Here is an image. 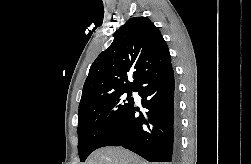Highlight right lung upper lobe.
I'll return each instance as SVG.
<instances>
[{
  "instance_id": "1",
  "label": "right lung upper lobe",
  "mask_w": 251,
  "mask_h": 164,
  "mask_svg": "<svg viewBox=\"0 0 251 164\" xmlns=\"http://www.w3.org/2000/svg\"><path fill=\"white\" fill-rule=\"evenodd\" d=\"M170 63L169 49L159 29L146 17L131 18L91 65L79 108L110 93L136 90L146 76Z\"/></svg>"
}]
</instances>
